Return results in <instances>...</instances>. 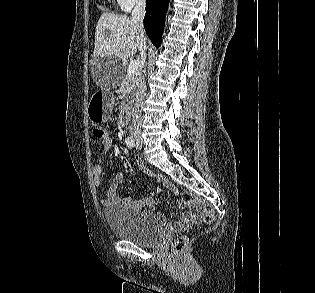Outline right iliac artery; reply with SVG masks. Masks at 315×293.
<instances>
[{
  "instance_id": "right-iliac-artery-1",
  "label": "right iliac artery",
  "mask_w": 315,
  "mask_h": 293,
  "mask_svg": "<svg viewBox=\"0 0 315 293\" xmlns=\"http://www.w3.org/2000/svg\"><path fill=\"white\" fill-rule=\"evenodd\" d=\"M125 143H126V145H127L129 148H133L134 145H135V140H134L131 136H128V137L125 139Z\"/></svg>"
}]
</instances>
